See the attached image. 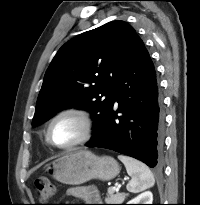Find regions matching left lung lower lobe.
<instances>
[{
  "label": "left lung lower lobe",
  "mask_w": 200,
  "mask_h": 205,
  "mask_svg": "<svg viewBox=\"0 0 200 205\" xmlns=\"http://www.w3.org/2000/svg\"><path fill=\"white\" fill-rule=\"evenodd\" d=\"M111 109L99 134L87 147L136 158L149 167L162 163L164 119L154 65L137 36L113 85ZM115 102L118 109L114 108Z\"/></svg>",
  "instance_id": "obj_1"
}]
</instances>
